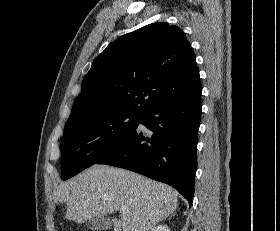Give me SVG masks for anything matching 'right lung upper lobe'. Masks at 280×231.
Instances as JSON below:
<instances>
[{"label": "right lung upper lobe", "mask_w": 280, "mask_h": 231, "mask_svg": "<svg viewBox=\"0 0 280 231\" xmlns=\"http://www.w3.org/2000/svg\"><path fill=\"white\" fill-rule=\"evenodd\" d=\"M200 90L196 58L183 31L153 23L123 35L94 59L68 120L142 115L164 101Z\"/></svg>", "instance_id": "right-lung-upper-lobe-1"}]
</instances>
